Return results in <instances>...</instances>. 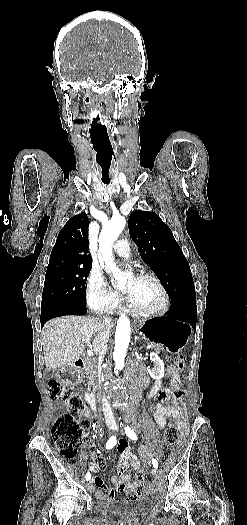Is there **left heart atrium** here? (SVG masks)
Returning <instances> with one entry per match:
<instances>
[{
	"label": "left heart atrium",
	"instance_id": "39dd6f15",
	"mask_svg": "<svg viewBox=\"0 0 247 525\" xmlns=\"http://www.w3.org/2000/svg\"><path fill=\"white\" fill-rule=\"evenodd\" d=\"M134 293H135V287H134V286L131 287V288H129V289H127V290L125 291V295H126L128 298H133Z\"/></svg>",
	"mask_w": 247,
	"mask_h": 525
}]
</instances>
